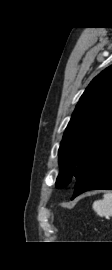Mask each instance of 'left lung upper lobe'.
I'll list each match as a JSON object with an SVG mask.
<instances>
[{
  "label": "left lung upper lobe",
  "mask_w": 112,
  "mask_h": 270,
  "mask_svg": "<svg viewBox=\"0 0 112 270\" xmlns=\"http://www.w3.org/2000/svg\"><path fill=\"white\" fill-rule=\"evenodd\" d=\"M112 148V65L81 96L58 151L57 188L78 180Z\"/></svg>",
  "instance_id": "obj_1"
}]
</instances>
